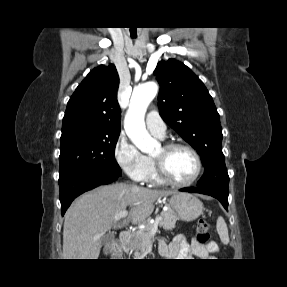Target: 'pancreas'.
Returning <instances> with one entry per match:
<instances>
[{
    "mask_svg": "<svg viewBox=\"0 0 287 287\" xmlns=\"http://www.w3.org/2000/svg\"><path fill=\"white\" fill-rule=\"evenodd\" d=\"M160 216L162 217V220L159 224L160 227L165 230H172L175 228L177 217L171 209L162 211L160 213ZM152 226L153 224L147 222L145 228L140 229L136 232V240L139 242L138 250H140L141 252L145 250L148 242L153 239L154 235L151 234Z\"/></svg>",
    "mask_w": 287,
    "mask_h": 287,
    "instance_id": "pancreas-1",
    "label": "pancreas"
}]
</instances>
